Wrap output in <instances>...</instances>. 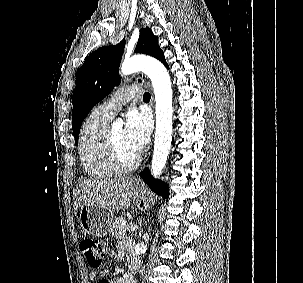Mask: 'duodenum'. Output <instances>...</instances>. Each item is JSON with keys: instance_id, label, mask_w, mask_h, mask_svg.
<instances>
[{"instance_id": "1", "label": "duodenum", "mask_w": 303, "mask_h": 283, "mask_svg": "<svg viewBox=\"0 0 303 283\" xmlns=\"http://www.w3.org/2000/svg\"><path fill=\"white\" fill-rule=\"evenodd\" d=\"M139 267H140V262L137 257L136 259L131 260L129 265V272H128V274L133 278L131 280V283H135L134 276L139 271Z\"/></svg>"}]
</instances>
